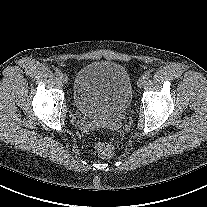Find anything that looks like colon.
<instances>
[{
    "label": "colon",
    "instance_id": "colon-1",
    "mask_svg": "<svg viewBox=\"0 0 207 207\" xmlns=\"http://www.w3.org/2000/svg\"><path fill=\"white\" fill-rule=\"evenodd\" d=\"M95 150L101 158H110L114 153V145L111 142H97Z\"/></svg>",
    "mask_w": 207,
    "mask_h": 207
}]
</instances>
